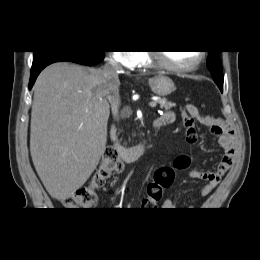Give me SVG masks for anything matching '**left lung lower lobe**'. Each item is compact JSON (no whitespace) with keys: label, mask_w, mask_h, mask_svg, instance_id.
Wrapping results in <instances>:
<instances>
[{"label":"left lung lower lobe","mask_w":260,"mask_h":260,"mask_svg":"<svg viewBox=\"0 0 260 260\" xmlns=\"http://www.w3.org/2000/svg\"><path fill=\"white\" fill-rule=\"evenodd\" d=\"M215 83L218 85L220 91L223 92V82H215Z\"/></svg>","instance_id":"left-lung-lower-lobe-1"}]
</instances>
